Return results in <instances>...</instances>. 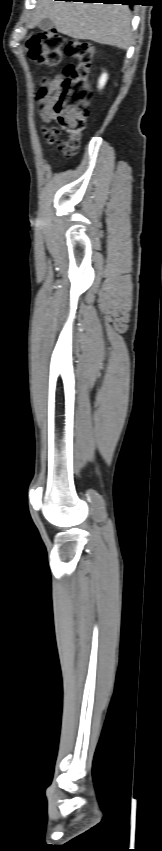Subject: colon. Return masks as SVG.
Here are the masks:
<instances>
[{
    "mask_svg": "<svg viewBox=\"0 0 162 851\" xmlns=\"http://www.w3.org/2000/svg\"><path fill=\"white\" fill-rule=\"evenodd\" d=\"M25 49L34 61L48 66L59 65L64 54L77 61L76 65L65 68L61 92L54 105L56 122L77 145L89 114L90 91L87 80L96 54L94 44L67 38L55 30H49L30 35Z\"/></svg>",
    "mask_w": 162,
    "mask_h": 851,
    "instance_id": "5ec220e1",
    "label": "colon"
}]
</instances>
